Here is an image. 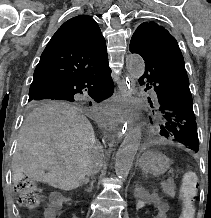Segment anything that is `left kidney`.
<instances>
[{
  "instance_id": "obj_1",
  "label": "left kidney",
  "mask_w": 211,
  "mask_h": 218,
  "mask_svg": "<svg viewBox=\"0 0 211 218\" xmlns=\"http://www.w3.org/2000/svg\"><path fill=\"white\" fill-rule=\"evenodd\" d=\"M136 210H147V198H142V202H136ZM154 212L156 213H153V218H164V215H169V212H172V207H167L165 198H155Z\"/></svg>"
}]
</instances>
